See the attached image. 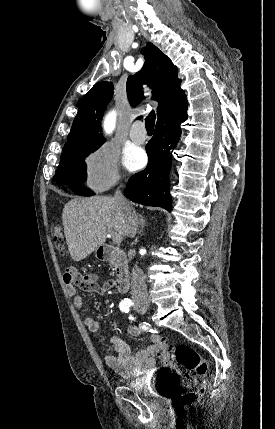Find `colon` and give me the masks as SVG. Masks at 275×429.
<instances>
[{
	"label": "colon",
	"mask_w": 275,
	"mask_h": 429,
	"mask_svg": "<svg viewBox=\"0 0 275 429\" xmlns=\"http://www.w3.org/2000/svg\"><path fill=\"white\" fill-rule=\"evenodd\" d=\"M53 241L56 249L60 253L65 252V243L60 228H55L53 232ZM70 277L68 271L64 274ZM157 358L163 364L166 372L176 379H182L187 384H195L200 377H205L209 373V364L193 348L185 344H179L172 348L168 342L163 339L157 349ZM206 389L204 384L196 390L186 392L181 400L184 405H191L199 400Z\"/></svg>",
	"instance_id": "1"
}]
</instances>
